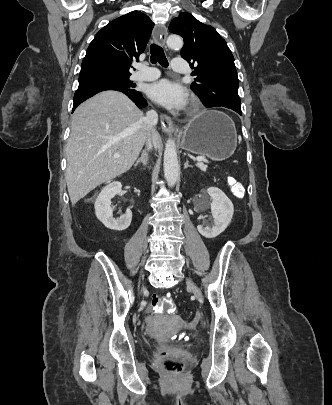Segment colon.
<instances>
[{
	"instance_id": "obj_1",
	"label": "colon",
	"mask_w": 332,
	"mask_h": 405,
	"mask_svg": "<svg viewBox=\"0 0 332 405\" xmlns=\"http://www.w3.org/2000/svg\"><path fill=\"white\" fill-rule=\"evenodd\" d=\"M227 185L236 197L242 196L243 187L234 178L229 177L227 179ZM152 309L157 313H164L166 319H176L180 312L178 310L179 304L173 302L172 297L167 295H154L152 298ZM172 338L176 341L179 337L175 334ZM163 368L171 373H179L184 368V362L179 358L167 357L163 360Z\"/></svg>"
}]
</instances>
